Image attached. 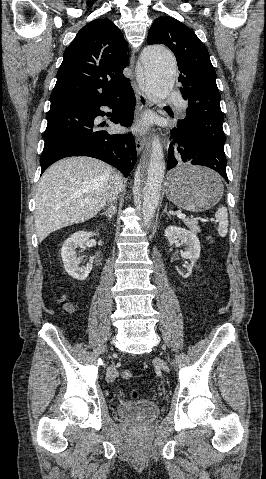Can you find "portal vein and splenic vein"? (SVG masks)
Wrapping results in <instances>:
<instances>
[{
    "label": "portal vein and splenic vein",
    "mask_w": 266,
    "mask_h": 479,
    "mask_svg": "<svg viewBox=\"0 0 266 479\" xmlns=\"http://www.w3.org/2000/svg\"><path fill=\"white\" fill-rule=\"evenodd\" d=\"M86 202H88V200H86ZM177 217L179 219H185L186 218V215L185 214H178Z\"/></svg>",
    "instance_id": "portal-vein-and-splenic-vein-1"
}]
</instances>
